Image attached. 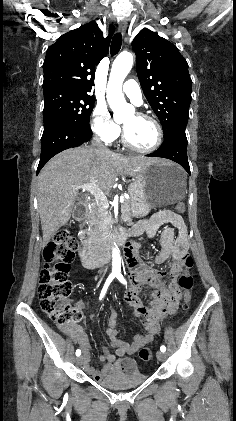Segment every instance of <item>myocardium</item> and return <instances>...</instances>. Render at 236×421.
<instances>
[{"mask_svg":"<svg viewBox=\"0 0 236 421\" xmlns=\"http://www.w3.org/2000/svg\"><path fill=\"white\" fill-rule=\"evenodd\" d=\"M139 117L144 118L146 120H148L150 123H152V125L155 128L156 131V139L155 142L153 143L152 146L148 147V148H140L138 146H135L134 144H132L126 135L125 129L123 128V132H122V142L123 144L128 147L129 149L138 152V153H142V154H149V153H153L155 152L162 144L163 141V129L160 125V123L153 118L152 116L143 113V112H137L136 113Z\"/></svg>","mask_w":236,"mask_h":421,"instance_id":"obj_1","label":"myocardium"}]
</instances>
